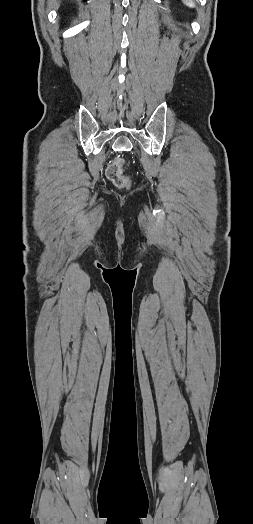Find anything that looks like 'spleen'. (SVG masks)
Segmentation results:
<instances>
[{
  "mask_svg": "<svg viewBox=\"0 0 253 524\" xmlns=\"http://www.w3.org/2000/svg\"><path fill=\"white\" fill-rule=\"evenodd\" d=\"M184 4H186L188 7L193 8L194 3L191 0H182Z\"/></svg>",
  "mask_w": 253,
  "mask_h": 524,
  "instance_id": "spleen-1",
  "label": "spleen"
}]
</instances>
